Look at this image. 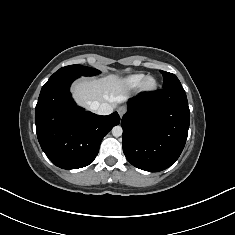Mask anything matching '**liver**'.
<instances>
[{
	"instance_id": "liver-1",
	"label": "liver",
	"mask_w": 235,
	"mask_h": 235,
	"mask_svg": "<svg viewBox=\"0 0 235 235\" xmlns=\"http://www.w3.org/2000/svg\"><path fill=\"white\" fill-rule=\"evenodd\" d=\"M126 87L123 80L110 74L99 79H81L76 81L71 92L78 105L90 109L93 102L108 103L113 108L126 100Z\"/></svg>"
}]
</instances>
